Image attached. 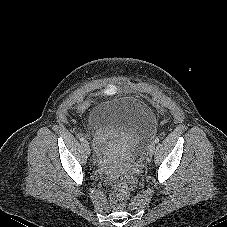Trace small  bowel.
Returning <instances> with one entry per match:
<instances>
[{"label":"small bowel","mask_w":227,"mask_h":227,"mask_svg":"<svg viewBox=\"0 0 227 227\" xmlns=\"http://www.w3.org/2000/svg\"><path fill=\"white\" fill-rule=\"evenodd\" d=\"M117 92H118V89L116 88V86H114L112 84H109L103 90V94L105 96H112V95L117 94ZM98 146H99L100 150L105 151V150H108L110 147L115 146V141L114 142L112 141V142H109V143H106V144L101 142V143L98 144Z\"/></svg>","instance_id":"obj_1"}]
</instances>
